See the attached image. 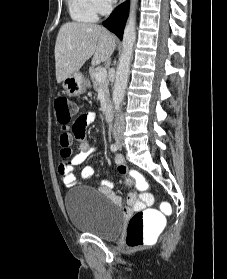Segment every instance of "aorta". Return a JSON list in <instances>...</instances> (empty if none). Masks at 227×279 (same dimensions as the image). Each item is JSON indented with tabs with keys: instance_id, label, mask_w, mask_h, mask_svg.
Masks as SVG:
<instances>
[{
	"instance_id": "1",
	"label": "aorta",
	"mask_w": 227,
	"mask_h": 279,
	"mask_svg": "<svg viewBox=\"0 0 227 279\" xmlns=\"http://www.w3.org/2000/svg\"><path fill=\"white\" fill-rule=\"evenodd\" d=\"M136 0H131L130 15L126 24L123 41L122 54L117 65L115 83L113 87V104L115 112L120 110L124 99L125 90L128 82L129 67L133 56V47L136 40Z\"/></svg>"
}]
</instances>
